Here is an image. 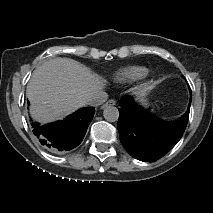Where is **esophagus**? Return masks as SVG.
Wrapping results in <instances>:
<instances>
[{
	"instance_id": "esophagus-1",
	"label": "esophagus",
	"mask_w": 213,
	"mask_h": 213,
	"mask_svg": "<svg viewBox=\"0 0 213 213\" xmlns=\"http://www.w3.org/2000/svg\"><path fill=\"white\" fill-rule=\"evenodd\" d=\"M116 101L114 99L109 100L106 104L102 106V108H105L107 105H115Z\"/></svg>"
}]
</instances>
